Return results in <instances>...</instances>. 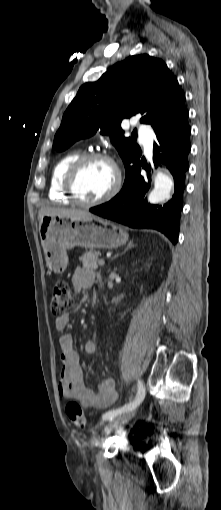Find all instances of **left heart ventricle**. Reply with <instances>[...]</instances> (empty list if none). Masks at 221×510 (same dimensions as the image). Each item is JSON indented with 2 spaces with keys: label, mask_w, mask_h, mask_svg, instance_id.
<instances>
[{
  "label": "left heart ventricle",
  "mask_w": 221,
  "mask_h": 510,
  "mask_svg": "<svg viewBox=\"0 0 221 510\" xmlns=\"http://www.w3.org/2000/svg\"><path fill=\"white\" fill-rule=\"evenodd\" d=\"M114 182L115 173L112 166L102 160H93L81 169L75 188L83 200L91 201L107 194Z\"/></svg>",
  "instance_id": "obj_1"
}]
</instances>
